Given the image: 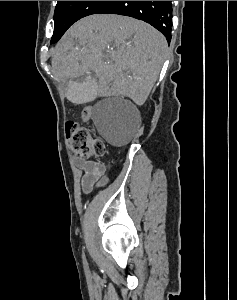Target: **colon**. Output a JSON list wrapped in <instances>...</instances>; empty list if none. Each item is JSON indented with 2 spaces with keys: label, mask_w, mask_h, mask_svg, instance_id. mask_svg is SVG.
I'll return each mask as SVG.
<instances>
[{
  "label": "colon",
  "mask_w": 237,
  "mask_h": 300,
  "mask_svg": "<svg viewBox=\"0 0 237 300\" xmlns=\"http://www.w3.org/2000/svg\"><path fill=\"white\" fill-rule=\"evenodd\" d=\"M66 138L70 149L79 158L101 157L105 153V143L92 130L78 123L66 125Z\"/></svg>",
  "instance_id": "obj_1"
}]
</instances>
